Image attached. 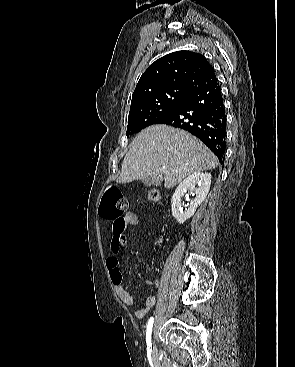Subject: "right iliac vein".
I'll use <instances>...</instances> for the list:
<instances>
[{
  "label": "right iliac vein",
  "mask_w": 295,
  "mask_h": 367,
  "mask_svg": "<svg viewBox=\"0 0 295 367\" xmlns=\"http://www.w3.org/2000/svg\"><path fill=\"white\" fill-rule=\"evenodd\" d=\"M155 352H156V346H155V344H154V347H153V354H155Z\"/></svg>",
  "instance_id": "63e3f726"
}]
</instances>
